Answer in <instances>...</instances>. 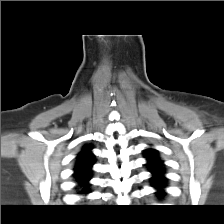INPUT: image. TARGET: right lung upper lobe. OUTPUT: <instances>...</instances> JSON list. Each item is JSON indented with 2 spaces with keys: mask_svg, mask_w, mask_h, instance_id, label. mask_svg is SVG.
Returning <instances> with one entry per match:
<instances>
[{
  "mask_svg": "<svg viewBox=\"0 0 224 224\" xmlns=\"http://www.w3.org/2000/svg\"><path fill=\"white\" fill-rule=\"evenodd\" d=\"M92 145H85L82 151L77 156V162L74 168V175L79 186L86 189L89 186L91 179L92 166L95 162V157L91 152ZM87 191H85L86 193Z\"/></svg>",
  "mask_w": 224,
  "mask_h": 224,
  "instance_id": "1",
  "label": "right lung upper lobe"
}]
</instances>
